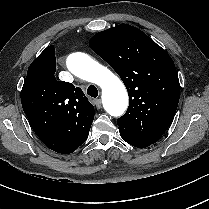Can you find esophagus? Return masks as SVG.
I'll return each instance as SVG.
<instances>
[{
  "label": "esophagus",
  "mask_w": 209,
  "mask_h": 209,
  "mask_svg": "<svg viewBox=\"0 0 209 209\" xmlns=\"http://www.w3.org/2000/svg\"><path fill=\"white\" fill-rule=\"evenodd\" d=\"M94 104H95V106H96L98 109H100V108L102 107V101H101V99H100V98L95 99V100H94Z\"/></svg>",
  "instance_id": "34e87169"
}]
</instances>
